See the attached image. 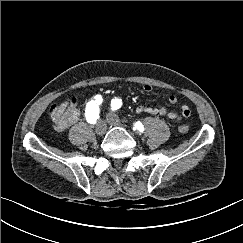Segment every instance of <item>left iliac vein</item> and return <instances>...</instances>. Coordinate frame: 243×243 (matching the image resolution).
Here are the masks:
<instances>
[{"mask_svg":"<svg viewBox=\"0 0 243 243\" xmlns=\"http://www.w3.org/2000/svg\"><path fill=\"white\" fill-rule=\"evenodd\" d=\"M106 120L110 125L121 126L119 118L114 113H108L106 115Z\"/></svg>","mask_w":243,"mask_h":243,"instance_id":"1","label":"left iliac vein"}]
</instances>
